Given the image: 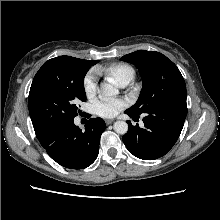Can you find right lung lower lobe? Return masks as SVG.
<instances>
[{"mask_svg":"<svg viewBox=\"0 0 220 220\" xmlns=\"http://www.w3.org/2000/svg\"><path fill=\"white\" fill-rule=\"evenodd\" d=\"M105 130L102 118H91L82 131L73 120L38 137L42 147L58 164L70 169L90 166L99 152L100 136Z\"/></svg>","mask_w":220,"mask_h":220,"instance_id":"obj_1","label":"right lung lower lobe"}]
</instances>
